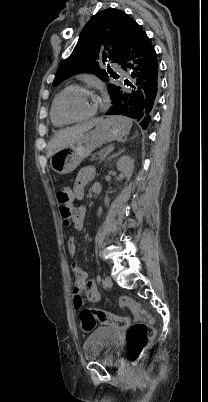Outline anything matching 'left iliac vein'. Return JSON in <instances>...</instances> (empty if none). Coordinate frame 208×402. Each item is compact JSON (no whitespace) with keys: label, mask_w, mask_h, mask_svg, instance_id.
<instances>
[{"label":"left iliac vein","mask_w":208,"mask_h":402,"mask_svg":"<svg viewBox=\"0 0 208 402\" xmlns=\"http://www.w3.org/2000/svg\"><path fill=\"white\" fill-rule=\"evenodd\" d=\"M104 285L106 288H111L113 285L112 279L109 276H106L104 279Z\"/></svg>","instance_id":"1"}]
</instances>
